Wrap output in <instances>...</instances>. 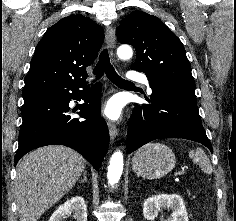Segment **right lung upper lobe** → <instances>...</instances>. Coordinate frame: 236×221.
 <instances>
[{
    "instance_id": "obj_1",
    "label": "right lung upper lobe",
    "mask_w": 236,
    "mask_h": 221,
    "mask_svg": "<svg viewBox=\"0 0 236 221\" xmlns=\"http://www.w3.org/2000/svg\"><path fill=\"white\" fill-rule=\"evenodd\" d=\"M103 41L102 28L88 17L76 14L58 21L36 47L23 96L85 82L86 67L97 57Z\"/></svg>"
}]
</instances>
